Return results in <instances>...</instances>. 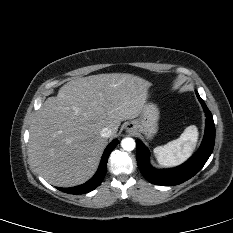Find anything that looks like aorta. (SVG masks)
<instances>
[{"mask_svg":"<svg viewBox=\"0 0 233 233\" xmlns=\"http://www.w3.org/2000/svg\"><path fill=\"white\" fill-rule=\"evenodd\" d=\"M121 147L126 151H132L136 147L135 140L130 137L124 138L121 141Z\"/></svg>","mask_w":233,"mask_h":233,"instance_id":"obj_1","label":"aorta"}]
</instances>
